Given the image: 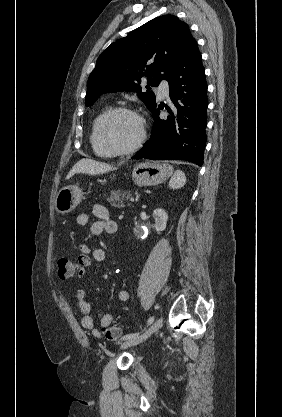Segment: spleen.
<instances>
[{
  "label": "spleen",
  "mask_w": 282,
  "mask_h": 417,
  "mask_svg": "<svg viewBox=\"0 0 282 417\" xmlns=\"http://www.w3.org/2000/svg\"><path fill=\"white\" fill-rule=\"evenodd\" d=\"M185 182V172H183V170H176L175 174L170 178L169 186L170 188H181Z\"/></svg>",
  "instance_id": "spleen-1"
}]
</instances>
